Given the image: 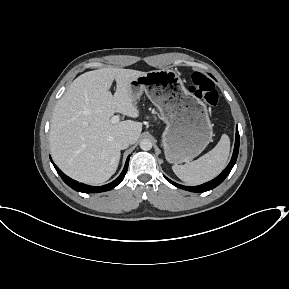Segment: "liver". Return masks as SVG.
<instances>
[{
  "label": "liver",
  "instance_id": "obj_1",
  "mask_svg": "<svg viewBox=\"0 0 289 289\" xmlns=\"http://www.w3.org/2000/svg\"><path fill=\"white\" fill-rule=\"evenodd\" d=\"M146 72L101 68L78 76L57 102L50 126V149L58 167L71 178L101 184L117 170V139L126 136L134 144L142 123L125 120L113 124L115 112L137 118L139 110L130 83ZM116 81V92L110 88Z\"/></svg>",
  "mask_w": 289,
  "mask_h": 289
}]
</instances>
